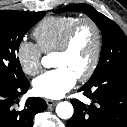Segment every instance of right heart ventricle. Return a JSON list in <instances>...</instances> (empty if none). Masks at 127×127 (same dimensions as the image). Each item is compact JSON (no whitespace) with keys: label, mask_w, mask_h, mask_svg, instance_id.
Returning <instances> with one entry per match:
<instances>
[{"label":"right heart ventricle","mask_w":127,"mask_h":127,"mask_svg":"<svg viewBox=\"0 0 127 127\" xmlns=\"http://www.w3.org/2000/svg\"><path fill=\"white\" fill-rule=\"evenodd\" d=\"M78 16H49L38 23L33 31L41 52L49 54L59 46L67 31L79 20Z\"/></svg>","instance_id":"right-heart-ventricle-1"}]
</instances>
